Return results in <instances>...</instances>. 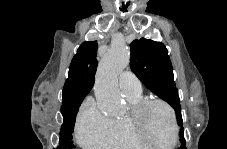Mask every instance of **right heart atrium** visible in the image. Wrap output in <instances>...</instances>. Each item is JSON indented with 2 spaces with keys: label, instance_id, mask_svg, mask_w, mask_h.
<instances>
[{
  "label": "right heart atrium",
  "instance_id": "obj_1",
  "mask_svg": "<svg viewBox=\"0 0 227 149\" xmlns=\"http://www.w3.org/2000/svg\"><path fill=\"white\" fill-rule=\"evenodd\" d=\"M75 131L81 146L102 149L110 142L112 118L102 113L93 99L87 98L77 115Z\"/></svg>",
  "mask_w": 227,
  "mask_h": 149
}]
</instances>
